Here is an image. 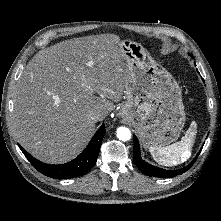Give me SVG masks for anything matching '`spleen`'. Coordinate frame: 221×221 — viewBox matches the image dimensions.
Instances as JSON below:
<instances>
[{"instance_id": "1", "label": "spleen", "mask_w": 221, "mask_h": 221, "mask_svg": "<svg viewBox=\"0 0 221 221\" xmlns=\"http://www.w3.org/2000/svg\"><path fill=\"white\" fill-rule=\"evenodd\" d=\"M197 124L193 121L181 141L166 147L151 146L149 151L154 160L163 166H176L187 161L195 141Z\"/></svg>"}]
</instances>
